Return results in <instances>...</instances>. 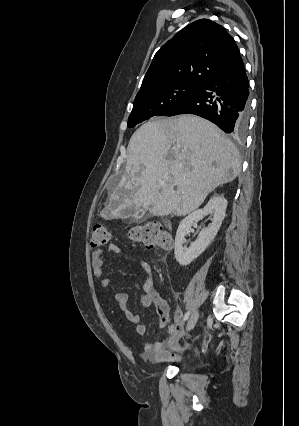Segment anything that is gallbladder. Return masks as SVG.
Instances as JSON below:
<instances>
[{
    "label": "gallbladder",
    "mask_w": 299,
    "mask_h": 426,
    "mask_svg": "<svg viewBox=\"0 0 299 426\" xmlns=\"http://www.w3.org/2000/svg\"><path fill=\"white\" fill-rule=\"evenodd\" d=\"M133 217V222L144 221L149 217V214L146 213L144 209H135V208H127L124 210V217L130 216Z\"/></svg>",
    "instance_id": "bac80fb5"
}]
</instances>
